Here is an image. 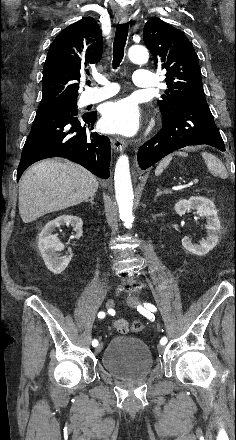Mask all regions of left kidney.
<instances>
[{"label": "left kidney", "mask_w": 236, "mask_h": 440, "mask_svg": "<svg viewBox=\"0 0 236 440\" xmlns=\"http://www.w3.org/2000/svg\"><path fill=\"white\" fill-rule=\"evenodd\" d=\"M174 209L180 216L193 209L200 216L206 217L207 225L205 228L208 236L200 242V245L192 243V240L185 236L182 239V245L186 250L195 255L204 256L218 244L221 224L216 207L210 199L202 196H192L189 200L178 201Z\"/></svg>", "instance_id": "obj_1"}]
</instances>
